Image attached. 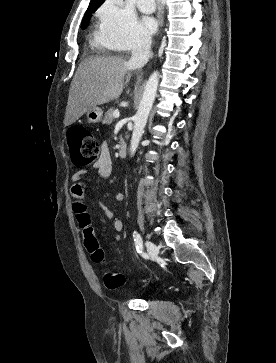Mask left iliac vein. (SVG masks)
Returning a JSON list of instances; mask_svg holds the SVG:
<instances>
[{
    "instance_id": "4c4485c4",
    "label": "left iliac vein",
    "mask_w": 276,
    "mask_h": 363,
    "mask_svg": "<svg viewBox=\"0 0 276 363\" xmlns=\"http://www.w3.org/2000/svg\"><path fill=\"white\" fill-rule=\"evenodd\" d=\"M145 245L147 247L149 256L151 257L152 260H155L158 256V251H159L158 247L151 241H146Z\"/></svg>"
}]
</instances>
